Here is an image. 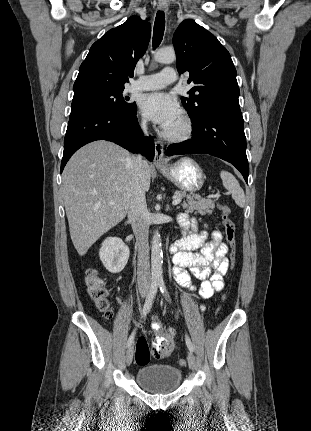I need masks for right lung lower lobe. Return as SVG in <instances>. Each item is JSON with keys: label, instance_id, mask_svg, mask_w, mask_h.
<instances>
[{"label": "right lung lower lobe", "instance_id": "right-lung-lower-lobe-1", "mask_svg": "<svg viewBox=\"0 0 311 431\" xmlns=\"http://www.w3.org/2000/svg\"><path fill=\"white\" fill-rule=\"evenodd\" d=\"M112 141L135 153L141 152L148 160L154 158V141L143 137L132 113H120L106 109L90 108L70 114L64 139L61 173L70 157L83 145L95 140Z\"/></svg>", "mask_w": 311, "mask_h": 431}]
</instances>
